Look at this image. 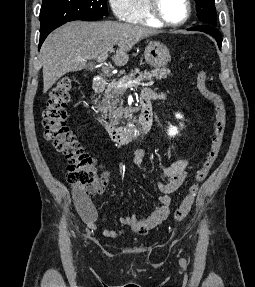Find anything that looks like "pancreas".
Wrapping results in <instances>:
<instances>
[{
	"mask_svg": "<svg viewBox=\"0 0 255 287\" xmlns=\"http://www.w3.org/2000/svg\"><path fill=\"white\" fill-rule=\"evenodd\" d=\"M167 76H172L170 70H167V68H155V70H150V72L148 70L141 72L139 68H135V70H131L129 76L119 78L118 82H131V80L144 82V80H153V78L161 80V78H167ZM118 82L114 80V82L108 84L103 94L102 102L97 110V112H102L103 118H109L110 124H115V126L123 116V108L120 106V94H124L127 90V88H117Z\"/></svg>",
	"mask_w": 255,
	"mask_h": 287,
	"instance_id": "cf45deb5",
	"label": "pancreas"
}]
</instances>
